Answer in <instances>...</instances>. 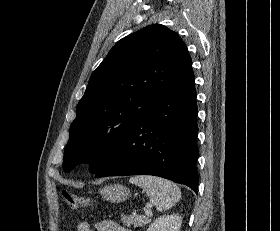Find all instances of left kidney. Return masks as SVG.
Segmentation results:
<instances>
[{
	"instance_id": "5707ae66",
	"label": "left kidney",
	"mask_w": 280,
	"mask_h": 231,
	"mask_svg": "<svg viewBox=\"0 0 280 231\" xmlns=\"http://www.w3.org/2000/svg\"><path fill=\"white\" fill-rule=\"evenodd\" d=\"M182 217L180 215H160L150 223L147 231H180Z\"/></svg>"
}]
</instances>
